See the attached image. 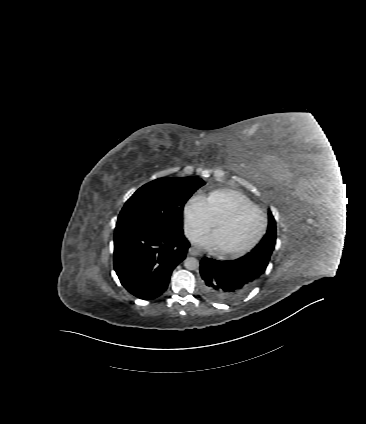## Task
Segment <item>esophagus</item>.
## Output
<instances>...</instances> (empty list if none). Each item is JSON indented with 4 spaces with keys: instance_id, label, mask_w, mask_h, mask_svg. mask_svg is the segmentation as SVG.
I'll return each mask as SVG.
<instances>
[{
    "instance_id": "obj_1",
    "label": "esophagus",
    "mask_w": 366,
    "mask_h": 424,
    "mask_svg": "<svg viewBox=\"0 0 366 424\" xmlns=\"http://www.w3.org/2000/svg\"><path fill=\"white\" fill-rule=\"evenodd\" d=\"M189 254L192 256H200L201 253L198 249L194 248V247H190L189 248Z\"/></svg>"
}]
</instances>
